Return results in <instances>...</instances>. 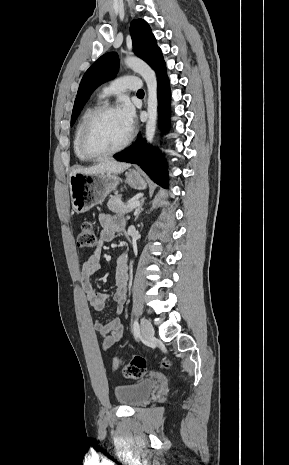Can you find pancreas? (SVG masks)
I'll return each mask as SVG.
<instances>
[{"label": "pancreas", "mask_w": 289, "mask_h": 465, "mask_svg": "<svg viewBox=\"0 0 289 465\" xmlns=\"http://www.w3.org/2000/svg\"><path fill=\"white\" fill-rule=\"evenodd\" d=\"M108 209L117 214H126L129 213L133 208L127 207L126 204H123L121 201V195L116 194L111 196L107 203Z\"/></svg>", "instance_id": "1"}]
</instances>
